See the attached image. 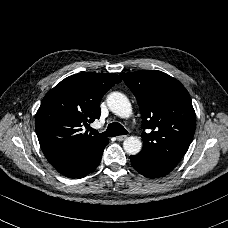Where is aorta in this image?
I'll return each instance as SVG.
<instances>
[{"label": "aorta", "mask_w": 228, "mask_h": 228, "mask_svg": "<svg viewBox=\"0 0 228 228\" xmlns=\"http://www.w3.org/2000/svg\"><path fill=\"white\" fill-rule=\"evenodd\" d=\"M106 103L110 111L117 116L127 117L131 114V103L127 96L114 91L107 95ZM124 151L129 155H137L142 149V143L135 136L128 137L123 142Z\"/></svg>", "instance_id": "1"}]
</instances>
